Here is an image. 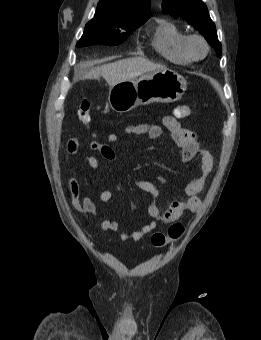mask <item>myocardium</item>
<instances>
[{
    "label": "myocardium",
    "mask_w": 261,
    "mask_h": 340,
    "mask_svg": "<svg viewBox=\"0 0 261 340\" xmlns=\"http://www.w3.org/2000/svg\"><path fill=\"white\" fill-rule=\"evenodd\" d=\"M196 43H199L203 46L204 51L202 54H197L195 52L194 46ZM184 45L186 52L193 60H201L204 57H206V55L209 53V44L207 40L202 35L199 34L187 35Z\"/></svg>",
    "instance_id": "obj_1"
}]
</instances>
